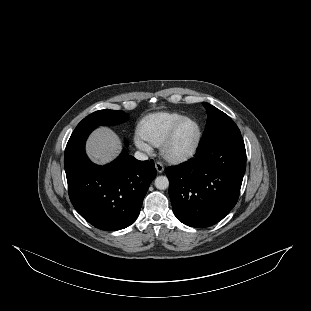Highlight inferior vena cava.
<instances>
[{
	"label": "inferior vena cava",
	"mask_w": 311,
	"mask_h": 311,
	"mask_svg": "<svg viewBox=\"0 0 311 311\" xmlns=\"http://www.w3.org/2000/svg\"><path fill=\"white\" fill-rule=\"evenodd\" d=\"M134 158L137 159V160H140V161L148 160V156L145 153L140 152V151H136L134 153Z\"/></svg>",
	"instance_id": "inferior-vena-cava-1"
}]
</instances>
